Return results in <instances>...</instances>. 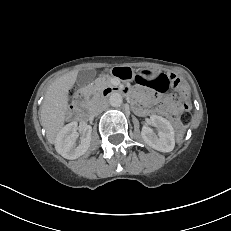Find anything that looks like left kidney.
Here are the masks:
<instances>
[{
  "label": "left kidney",
  "mask_w": 231,
  "mask_h": 231,
  "mask_svg": "<svg viewBox=\"0 0 231 231\" xmlns=\"http://www.w3.org/2000/svg\"><path fill=\"white\" fill-rule=\"evenodd\" d=\"M148 124L158 129V135L152 128L145 125L141 131L144 142L160 152H171L175 146V134L171 123L161 116L152 115Z\"/></svg>",
  "instance_id": "5707ae66"
}]
</instances>
